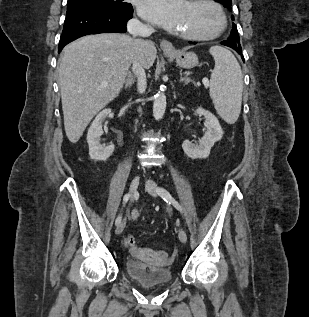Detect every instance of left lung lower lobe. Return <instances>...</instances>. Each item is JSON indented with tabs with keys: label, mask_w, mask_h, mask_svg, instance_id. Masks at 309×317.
Returning <instances> with one entry per match:
<instances>
[{
	"label": "left lung lower lobe",
	"mask_w": 309,
	"mask_h": 317,
	"mask_svg": "<svg viewBox=\"0 0 309 317\" xmlns=\"http://www.w3.org/2000/svg\"><path fill=\"white\" fill-rule=\"evenodd\" d=\"M190 43H191V42H190ZM195 43H196V42H194L193 44H195ZM221 44H222V45H225V46H228V47H231L232 49H234L238 54L241 55V58H242L243 61H244V57H243L242 52H241V46H240V44H235V43H233V42H231V41H229V40H227V41H222Z\"/></svg>",
	"instance_id": "left-lung-lower-lobe-1"
}]
</instances>
